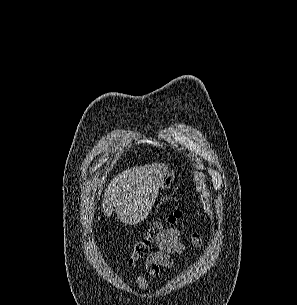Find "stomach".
<instances>
[{
  "instance_id": "1",
  "label": "stomach",
  "mask_w": 297,
  "mask_h": 305,
  "mask_svg": "<svg viewBox=\"0 0 297 305\" xmlns=\"http://www.w3.org/2000/svg\"><path fill=\"white\" fill-rule=\"evenodd\" d=\"M175 176H176L175 170H173V169L167 170L166 173L161 178L159 189H161V190L170 189L172 184L174 183Z\"/></svg>"
}]
</instances>
